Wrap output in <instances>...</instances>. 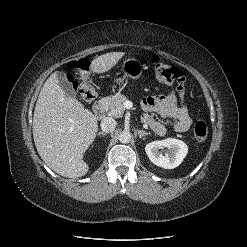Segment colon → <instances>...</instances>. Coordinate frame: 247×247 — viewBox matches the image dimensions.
Here are the masks:
<instances>
[{
    "label": "colon",
    "mask_w": 247,
    "mask_h": 247,
    "mask_svg": "<svg viewBox=\"0 0 247 247\" xmlns=\"http://www.w3.org/2000/svg\"><path fill=\"white\" fill-rule=\"evenodd\" d=\"M152 64L157 80L166 85H180L183 82V75L181 71L171 65L163 63L158 57L152 58ZM90 62L84 57L69 62L68 67L77 71L81 76L80 83H74V88L79 98L84 102H90L96 97V91L88 80ZM193 134L197 141L203 142L208 135V126L204 120L196 121Z\"/></svg>",
    "instance_id": "1"
}]
</instances>
